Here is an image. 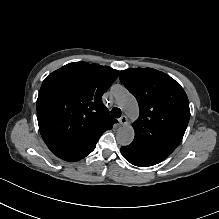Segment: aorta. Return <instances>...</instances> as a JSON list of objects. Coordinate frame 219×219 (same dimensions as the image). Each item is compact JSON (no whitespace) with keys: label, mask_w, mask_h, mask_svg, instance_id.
Segmentation results:
<instances>
[{"label":"aorta","mask_w":219,"mask_h":219,"mask_svg":"<svg viewBox=\"0 0 219 219\" xmlns=\"http://www.w3.org/2000/svg\"><path fill=\"white\" fill-rule=\"evenodd\" d=\"M115 97L119 107L130 117L136 118L139 115L138 103L124 87H115ZM135 132L131 125H124L119 128L116 134V140L120 145L126 146L134 140Z\"/></svg>","instance_id":"1"}]
</instances>
